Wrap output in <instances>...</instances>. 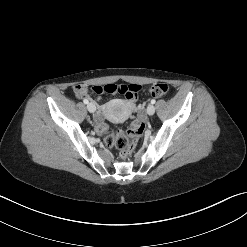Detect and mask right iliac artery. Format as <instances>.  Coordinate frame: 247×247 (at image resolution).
Segmentation results:
<instances>
[{
    "label": "right iliac artery",
    "mask_w": 247,
    "mask_h": 247,
    "mask_svg": "<svg viewBox=\"0 0 247 247\" xmlns=\"http://www.w3.org/2000/svg\"><path fill=\"white\" fill-rule=\"evenodd\" d=\"M83 102H84L85 104H88V103H89V101H88L87 99H84Z\"/></svg>",
    "instance_id": "1"
}]
</instances>
